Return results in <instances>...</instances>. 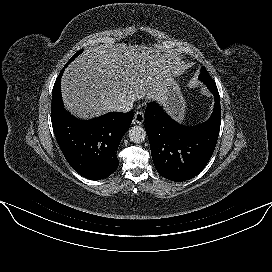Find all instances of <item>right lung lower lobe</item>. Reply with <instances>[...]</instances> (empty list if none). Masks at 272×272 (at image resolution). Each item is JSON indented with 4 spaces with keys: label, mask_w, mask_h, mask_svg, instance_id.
Segmentation results:
<instances>
[{
    "label": "right lung lower lobe",
    "mask_w": 272,
    "mask_h": 272,
    "mask_svg": "<svg viewBox=\"0 0 272 272\" xmlns=\"http://www.w3.org/2000/svg\"><path fill=\"white\" fill-rule=\"evenodd\" d=\"M63 70L52 91L51 121L57 142L70 166L80 175L91 180L106 178L118 168L117 149L134 113L111 112L89 121L74 118L63 107Z\"/></svg>",
    "instance_id": "98d812e1"
}]
</instances>
